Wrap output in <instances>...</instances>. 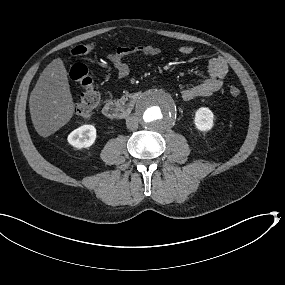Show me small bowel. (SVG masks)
I'll list each match as a JSON object with an SVG mask.
<instances>
[{"label": "small bowel", "instance_id": "obj_1", "mask_svg": "<svg viewBox=\"0 0 285 285\" xmlns=\"http://www.w3.org/2000/svg\"><path fill=\"white\" fill-rule=\"evenodd\" d=\"M191 46H181L177 52L188 55L193 52ZM160 53V49L153 45H141L136 47L122 46L108 54L107 58L117 72L120 78H125L130 73V65L128 59L135 55H143L147 57L156 56ZM228 72V66L224 59L220 57L211 58L208 61L207 78L190 87L181 90V96L184 100L190 101L196 98L210 97L217 93L223 86L224 78Z\"/></svg>", "mask_w": 285, "mask_h": 285}]
</instances>
